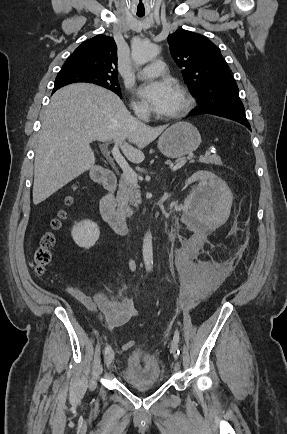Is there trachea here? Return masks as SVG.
Segmentation results:
<instances>
[{
	"label": "trachea",
	"instance_id": "1",
	"mask_svg": "<svg viewBox=\"0 0 287 434\" xmlns=\"http://www.w3.org/2000/svg\"><path fill=\"white\" fill-rule=\"evenodd\" d=\"M139 17H143L144 16V14H137Z\"/></svg>",
	"mask_w": 287,
	"mask_h": 434
}]
</instances>
